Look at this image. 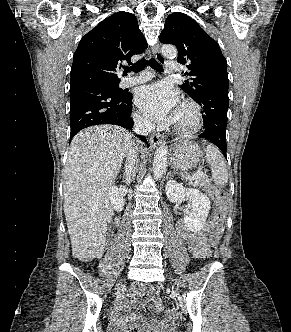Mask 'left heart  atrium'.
<instances>
[{
  "label": "left heart atrium",
  "instance_id": "1",
  "mask_svg": "<svg viewBox=\"0 0 291 332\" xmlns=\"http://www.w3.org/2000/svg\"><path fill=\"white\" fill-rule=\"evenodd\" d=\"M136 103L149 119L157 122L174 123L179 96L169 85L155 83L138 90Z\"/></svg>",
  "mask_w": 291,
  "mask_h": 332
}]
</instances>
